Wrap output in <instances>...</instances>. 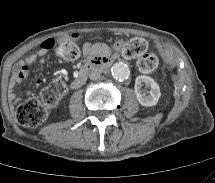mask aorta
Here are the masks:
<instances>
[{
	"instance_id": "aorta-1",
	"label": "aorta",
	"mask_w": 215,
	"mask_h": 183,
	"mask_svg": "<svg viewBox=\"0 0 215 183\" xmlns=\"http://www.w3.org/2000/svg\"><path fill=\"white\" fill-rule=\"evenodd\" d=\"M112 76L118 80H125L130 75L129 67L122 62L115 63L111 68Z\"/></svg>"
}]
</instances>
